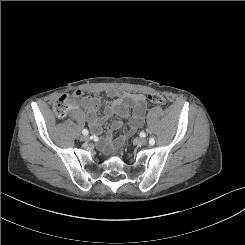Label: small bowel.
Returning <instances> with one entry per match:
<instances>
[{
  "mask_svg": "<svg viewBox=\"0 0 245 245\" xmlns=\"http://www.w3.org/2000/svg\"><path fill=\"white\" fill-rule=\"evenodd\" d=\"M80 96L81 91H76ZM75 93V94H76ZM107 95L112 98V102L104 107L103 116L97 115L99 108V100L94 96H87L82 102V106L86 110L87 121L95 135H99L102 131L103 123L113 116H118L119 119L112 122L111 128L113 131L119 130L123 121L129 118L130 132H135L144 123L146 112L145 97L139 93L127 92L120 89L111 88L106 91ZM132 115L130 116V111ZM111 135H107L101 142V147H111Z\"/></svg>",
  "mask_w": 245,
  "mask_h": 245,
  "instance_id": "obj_1",
  "label": "small bowel"
}]
</instances>
